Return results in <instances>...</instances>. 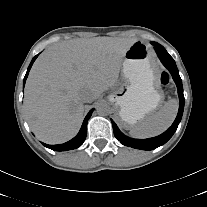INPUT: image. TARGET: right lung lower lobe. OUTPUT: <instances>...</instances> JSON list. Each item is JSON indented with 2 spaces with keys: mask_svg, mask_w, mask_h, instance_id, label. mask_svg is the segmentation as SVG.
<instances>
[{
  "mask_svg": "<svg viewBox=\"0 0 207 207\" xmlns=\"http://www.w3.org/2000/svg\"><path fill=\"white\" fill-rule=\"evenodd\" d=\"M37 56L38 55H36L32 59L30 65L27 69L26 75H25L24 80H23L24 85H25L27 76L29 74L30 68H31L33 62L35 61V59L37 58ZM93 110L94 109L90 110L89 113L87 114V116L85 117L84 122L82 124V127H81V129H80V131H79V133L77 134L76 137H74L73 139H71L70 141H68L66 143L59 144V145H47V144H44V143H42V144L45 147H47L49 149H52L54 151H66V150L76 149V148L80 147L83 144V142L85 141L86 134H87V122H88V119L90 118Z\"/></svg>",
  "mask_w": 207,
  "mask_h": 207,
  "instance_id": "1",
  "label": "right lung lower lobe"
}]
</instances>
